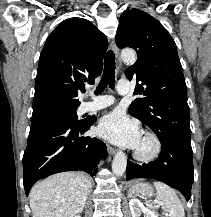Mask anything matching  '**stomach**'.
I'll list each match as a JSON object with an SVG mask.
<instances>
[{
  "label": "stomach",
  "instance_id": "1",
  "mask_svg": "<svg viewBox=\"0 0 211 217\" xmlns=\"http://www.w3.org/2000/svg\"><path fill=\"white\" fill-rule=\"evenodd\" d=\"M131 190L143 196H150L153 194V188L149 183H137L131 187Z\"/></svg>",
  "mask_w": 211,
  "mask_h": 217
}]
</instances>
